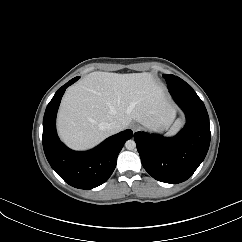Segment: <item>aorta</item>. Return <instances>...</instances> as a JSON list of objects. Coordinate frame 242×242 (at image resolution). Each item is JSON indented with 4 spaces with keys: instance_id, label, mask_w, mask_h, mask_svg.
<instances>
[{
    "instance_id": "aorta-1",
    "label": "aorta",
    "mask_w": 242,
    "mask_h": 242,
    "mask_svg": "<svg viewBox=\"0 0 242 242\" xmlns=\"http://www.w3.org/2000/svg\"><path fill=\"white\" fill-rule=\"evenodd\" d=\"M125 147L128 149V150H133L136 148V143L134 140L132 139H129L126 141L125 143Z\"/></svg>"
}]
</instances>
